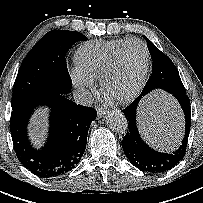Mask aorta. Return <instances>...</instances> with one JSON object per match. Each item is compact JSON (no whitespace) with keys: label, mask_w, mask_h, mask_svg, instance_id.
Returning a JSON list of instances; mask_svg holds the SVG:
<instances>
[{"label":"aorta","mask_w":203,"mask_h":203,"mask_svg":"<svg viewBox=\"0 0 203 203\" xmlns=\"http://www.w3.org/2000/svg\"><path fill=\"white\" fill-rule=\"evenodd\" d=\"M106 124L109 129L116 133H125L128 128L127 118L121 111H111L106 117Z\"/></svg>","instance_id":"aorta-1"}]
</instances>
